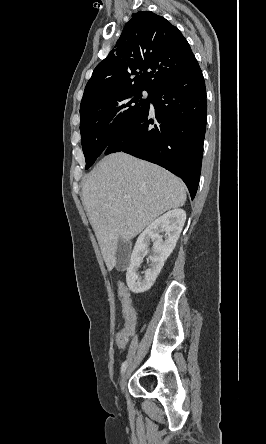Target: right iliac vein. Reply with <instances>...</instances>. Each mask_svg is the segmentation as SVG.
Returning a JSON list of instances; mask_svg holds the SVG:
<instances>
[{
	"instance_id": "63e3f726",
	"label": "right iliac vein",
	"mask_w": 266,
	"mask_h": 444,
	"mask_svg": "<svg viewBox=\"0 0 266 444\" xmlns=\"http://www.w3.org/2000/svg\"><path fill=\"white\" fill-rule=\"evenodd\" d=\"M128 376H129L128 371H125L123 373V375H122V378H121V381H120V388H121L122 392L125 391V388H126V385H127Z\"/></svg>"
}]
</instances>
